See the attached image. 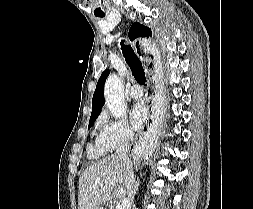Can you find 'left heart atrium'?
<instances>
[{"label": "left heart atrium", "mask_w": 253, "mask_h": 209, "mask_svg": "<svg viewBox=\"0 0 253 209\" xmlns=\"http://www.w3.org/2000/svg\"><path fill=\"white\" fill-rule=\"evenodd\" d=\"M147 116L148 111L145 105L142 103L136 104L130 113V121L132 126L136 129L140 128L146 121Z\"/></svg>", "instance_id": "1"}]
</instances>
